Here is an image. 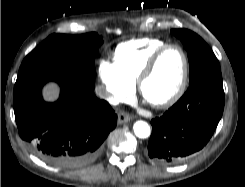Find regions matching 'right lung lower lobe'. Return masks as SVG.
<instances>
[{
	"mask_svg": "<svg viewBox=\"0 0 245 187\" xmlns=\"http://www.w3.org/2000/svg\"><path fill=\"white\" fill-rule=\"evenodd\" d=\"M48 81L61 87L55 103L45 102L41 95ZM13 103L20 137L39 158L64 169L93 162L117 124L110 105L94 94V77L67 68L37 66L20 71Z\"/></svg>",
	"mask_w": 245,
	"mask_h": 187,
	"instance_id": "1",
	"label": "right lung lower lobe"
}]
</instances>
